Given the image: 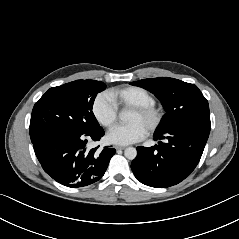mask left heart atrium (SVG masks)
Segmentation results:
<instances>
[{
    "label": "left heart atrium",
    "instance_id": "obj_1",
    "mask_svg": "<svg viewBox=\"0 0 239 239\" xmlns=\"http://www.w3.org/2000/svg\"><path fill=\"white\" fill-rule=\"evenodd\" d=\"M147 134V129L139 123L116 125L107 134L109 142L116 145H128L142 140Z\"/></svg>",
    "mask_w": 239,
    "mask_h": 239
}]
</instances>
